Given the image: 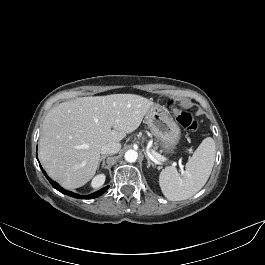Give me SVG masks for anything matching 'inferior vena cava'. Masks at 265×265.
<instances>
[{
  "mask_svg": "<svg viewBox=\"0 0 265 265\" xmlns=\"http://www.w3.org/2000/svg\"><path fill=\"white\" fill-rule=\"evenodd\" d=\"M120 148L119 143H106L101 148V154H116Z\"/></svg>",
  "mask_w": 265,
  "mask_h": 265,
  "instance_id": "inferior-vena-cava-1",
  "label": "inferior vena cava"
}]
</instances>
